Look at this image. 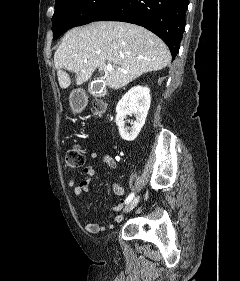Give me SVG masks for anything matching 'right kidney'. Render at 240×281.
Returning <instances> with one entry per match:
<instances>
[{"mask_svg": "<svg viewBox=\"0 0 240 281\" xmlns=\"http://www.w3.org/2000/svg\"><path fill=\"white\" fill-rule=\"evenodd\" d=\"M150 103V89L143 86L131 88L119 100L116 106L117 115L115 121L123 140L133 141L136 139L145 124ZM132 114H134L136 120L131 123V127H127L125 126V119L127 115L131 116Z\"/></svg>", "mask_w": 240, "mask_h": 281, "instance_id": "obj_1", "label": "right kidney"}]
</instances>
